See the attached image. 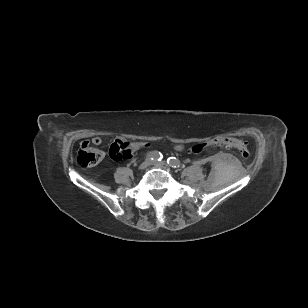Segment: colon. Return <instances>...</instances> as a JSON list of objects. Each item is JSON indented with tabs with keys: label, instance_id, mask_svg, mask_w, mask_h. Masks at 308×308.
<instances>
[{
	"label": "colon",
	"instance_id": "obj_1",
	"mask_svg": "<svg viewBox=\"0 0 308 308\" xmlns=\"http://www.w3.org/2000/svg\"><path fill=\"white\" fill-rule=\"evenodd\" d=\"M154 142L149 140L131 139L129 143L122 139H116L110 147V156L116 160H126L133 156L134 151H140L141 148H153ZM208 147H226L236 150L243 158H248L250 153L246 145L239 139L233 137H217L204 143H199L191 148L193 153H200ZM77 163L82 167H92L100 163L103 159V152L90 146L88 141H83L77 153Z\"/></svg>",
	"mask_w": 308,
	"mask_h": 308
}]
</instances>
